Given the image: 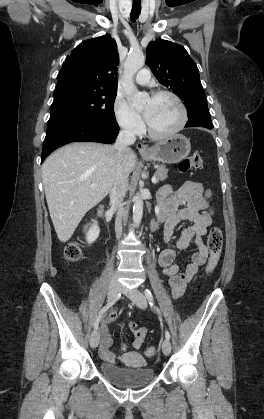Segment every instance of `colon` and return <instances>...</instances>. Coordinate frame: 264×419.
<instances>
[{
	"mask_svg": "<svg viewBox=\"0 0 264 419\" xmlns=\"http://www.w3.org/2000/svg\"><path fill=\"white\" fill-rule=\"evenodd\" d=\"M202 166V158L199 153H194L184 159L178 164V170L181 173H188L192 170L198 169ZM209 195V193H207ZM207 248L210 253V258L206 266L207 275H211L215 270L220 253L222 250V232L218 227H213L207 237ZM65 257L69 262H76L81 259L82 252L77 244H70L65 249ZM156 349L150 346L146 349V356L149 358L156 356Z\"/></svg>",
	"mask_w": 264,
	"mask_h": 419,
	"instance_id": "1",
	"label": "colon"
}]
</instances>
